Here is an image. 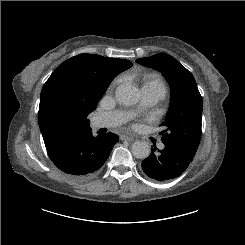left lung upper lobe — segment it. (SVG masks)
<instances>
[{"label":"left lung upper lobe","instance_id":"1","mask_svg":"<svg viewBox=\"0 0 245 245\" xmlns=\"http://www.w3.org/2000/svg\"><path fill=\"white\" fill-rule=\"evenodd\" d=\"M138 63L162 71L172 89V98L161 132L162 142L178 145L195 155L201 138L202 97L196 81L180 62L165 53L140 58Z\"/></svg>","mask_w":245,"mask_h":245}]
</instances>
